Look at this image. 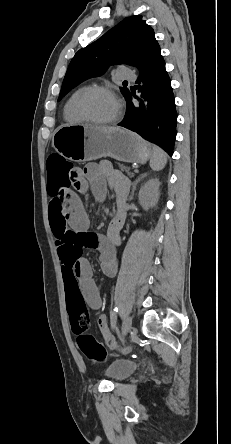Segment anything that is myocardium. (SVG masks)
<instances>
[{
    "label": "myocardium",
    "mask_w": 231,
    "mask_h": 444,
    "mask_svg": "<svg viewBox=\"0 0 231 444\" xmlns=\"http://www.w3.org/2000/svg\"><path fill=\"white\" fill-rule=\"evenodd\" d=\"M95 92L108 93L115 98L117 105H118V110H117V113L112 118L105 120V121H98V120L93 119L87 113L86 108H85V102L88 99V97ZM122 111H123V104H122L120 98L118 97V95L116 94V92L112 88H110L108 86H104V85H94V86L87 87L80 94V96L78 97L77 102H76V112L79 115V117L83 121L90 123V124H94V125L105 126V125L114 124L121 117Z\"/></svg>",
    "instance_id": "obj_1"
}]
</instances>
